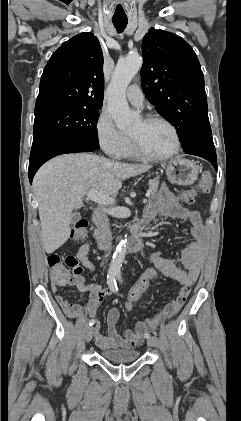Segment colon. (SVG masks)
<instances>
[{"label": "colon", "instance_id": "obj_1", "mask_svg": "<svg viewBox=\"0 0 241 421\" xmlns=\"http://www.w3.org/2000/svg\"><path fill=\"white\" fill-rule=\"evenodd\" d=\"M212 184V178L209 172H204L196 188L185 190L180 194V200L186 204H192L197 195L209 191ZM87 234V222L81 220L77 222L70 238L75 241H83ZM51 280L54 284L72 281L74 277L82 274V268L74 255H68L62 258L58 254H52L48 257ZM159 275V270L155 266L148 267L130 290L125 307L132 310L134 304L148 290L151 284Z\"/></svg>", "mask_w": 241, "mask_h": 421}]
</instances>
